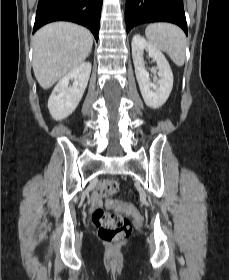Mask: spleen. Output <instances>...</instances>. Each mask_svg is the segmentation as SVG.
<instances>
[{
  "instance_id": "1",
  "label": "spleen",
  "mask_w": 229,
  "mask_h": 280,
  "mask_svg": "<svg viewBox=\"0 0 229 280\" xmlns=\"http://www.w3.org/2000/svg\"><path fill=\"white\" fill-rule=\"evenodd\" d=\"M148 43L166 52L177 66H183L186 53V36L176 25L170 23H151L146 27Z\"/></svg>"
}]
</instances>
